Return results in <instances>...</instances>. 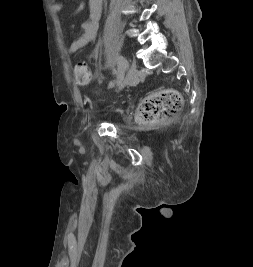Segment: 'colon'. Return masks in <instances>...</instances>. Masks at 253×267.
Wrapping results in <instances>:
<instances>
[{
    "label": "colon",
    "instance_id": "colon-1",
    "mask_svg": "<svg viewBox=\"0 0 253 267\" xmlns=\"http://www.w3.org/2000/svg\"><path fill=\"white\" fill-rule=\"evenodd\" d=\"M75 78L80 84L89 82L91 72L86 64L75 67ZM182 107L181 94L174 89H166L147 96L140 104L139 114L144 122H156L172 118Z\"/></svg>",
    "mask_w": 253,
    "mask_h": 267
}]
</instances>
